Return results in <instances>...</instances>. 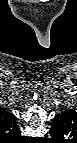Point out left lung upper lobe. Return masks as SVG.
Segmentation results:
<instances>
[{"label": "left lung upper lobe", "mask_w": 77, "mask_h": 143, "mask_svg": "<svg viewBox=\"0 0 77 143\" xmlns=\"http://www.w3.org/2000/svg\"><path fill=\"white\" fill-rule=\"evenodd\" d=\"M71 121H72V117L66 121L53 122V125L50 129V133L52 135L62 136L64 133V130H68V127L70 126Z\"/></svg>", "instance_id": "1"}]
</instances>
